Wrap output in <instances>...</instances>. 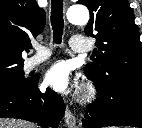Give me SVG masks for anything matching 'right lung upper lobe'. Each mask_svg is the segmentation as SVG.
<instances>
[{"label": "right lung upper lobe", "instance_id": "1", "mask_svg": "<svg viewBox=\"0 0 142 128\" xmlns=\"http://www.w3.org/2000/svg\"><path fill=\"white\" fill-rule=\"evenodd\" d=\"M45 22L36 0H0V67H23L21 53L31 47Z\"/></svg>", "mask_w": 142, "mask_h": 128}]
</instances>
